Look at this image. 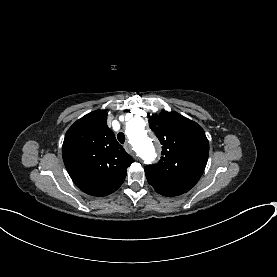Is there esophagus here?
Listing matches in <instances>:
<instances>
[{
	"label": "esophagus",
	"instance_id": "34e87169",
	"mask_svg": "<svg viewBox=\"0 0 277 277\" xmlns=\"http://www.w3.org/2000/svg\"><path fill=\"white\" fill-rule=\"evenodd\" d=\"M124 148H125V150L127 151V152H131L132 153V147H131V145H130V143L129 142H126L125 144H124ZM134 156V158L136 159V157H135V155H133Z\"/></svg>",
	"mask_w": 277,
	"mask_h": 277
}]
</instances>
